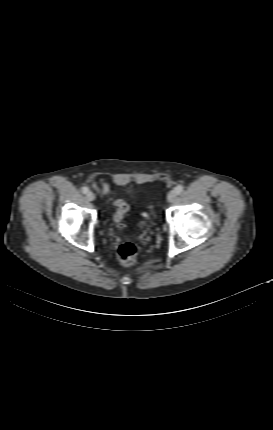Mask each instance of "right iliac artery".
<instances>
[{
  "mask_svg": "<svg viewBox=\"0 0 273 430\" xmlns=\"http://www.w3.org/2000/svg\"><path fill=\"white\" fill-rule=\"evenodd\" d=\"M88 191H89L88 187H83V188H82V192H83L84 194H86Z\"/></svg>",
  "mask_w": 273,
  "mask_h": 430,
  "instance_id": "1",
  "label": "right iliac artery"
}]
</instances>
